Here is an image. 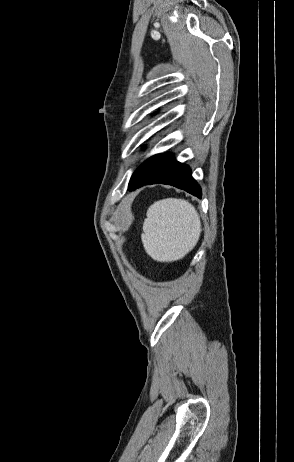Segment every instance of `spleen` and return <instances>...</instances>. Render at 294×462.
Wrapping results in <instances>:
<instances>
[{"mask_svg":"<svg viewBox=\"0 0 294 462\" xmlns=\"http://www.w3.org/2000/svg\"><path fill=\"white\" fill-rule=\"evenodd\" d=\"M141 235L145 251L154 260L170 262L183 258L196 245L201 222L194 206L176 198L159 200L146 214Z\"/></svg>","mask_w":294,"mask_h":462,"instance_id":"1","label":"spleen"}]
</instances>
